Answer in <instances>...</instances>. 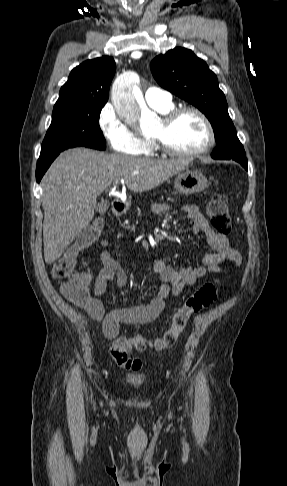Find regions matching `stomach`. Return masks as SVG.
Here are the masks:
<instances>
[{"instance_id":"stomach-1","label":"stomach","mask_w":287,"mask_h":486,"mask_svg":"<svg viewBox=\"0 0 287 486\" xmlns=\"http://www.w3.org/2000/svg\"><path fill=\"white\" fill-rule=\"evenodd\" d=\"M208 187L206 177L195 168H186L180 172L174 181V188L183 195H192Z\"/></svg>"}]
</instances>
